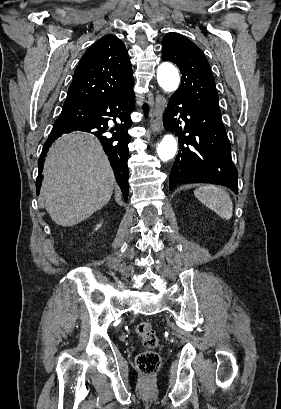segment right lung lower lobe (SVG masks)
Masks as SVG:
<instances>
[{
  "label": "right lung lower lobe",
  "mask_w": 281,
  "mask_h": 409,
  "mask_svg": "<svg viewBox=\"0 0 281 409\" xmlns=\"http://www.w3.org/2000/svg\"><path fill=\"white\" fill-rule=\"evenodd\" d=\"M133 87L119 95L112 96L97 102L86 104H64L61 117L74 116L80 118L77 123H55L46 141L38 161L39 174L36 181L37 194L40 190V179L43 170V157L52 142L64 133L74 130L90 132L98 137L104 151L111 161L114 174L121 187L125 201L128 197V144L130 136L128 129L131 127L130 113L133 110ZM147 112V108H145ZM116 118L121 122L117 123ZM109 120L115 126H108ZM112 133V135L110 134Z\"/></svg>",
  "instance_id": "right-lung-lower-lobe-1"
}]
</instances>
